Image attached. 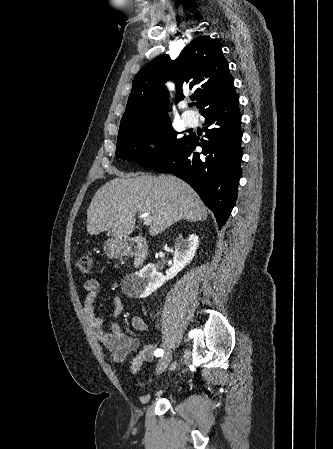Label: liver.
I'll return each mask as SVG.
<instances>
[{
	"instance_id": "6515ba94",
	"label": "liver",
	"mask_w": 333,
	"mask_h": 449,
	"mask_svg": "<svg viewBox=\"0 0 333 449\" xmlns=\"http://www.w3.org/2000/svg\"><path fill=\"white\" fill-rule=\"evenodd\" d=\"M115 178L94 195L87 210V232L122 239L135 228L137 213L151 214L149 234L156 236L179 220L204 221L208 214L197 193L172 176L133 173Z\"/></svg>"
}]
</instances>
